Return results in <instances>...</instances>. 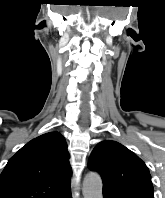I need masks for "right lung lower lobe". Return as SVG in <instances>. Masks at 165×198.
<instances>
[{
    "label": "right lung lower lobe",
    "mask_w": 165,
    "mask_h": 198,
    "mask_svg": "<svg viewBox=\"0 0 165 198\" xmlns=\"http://www.w3.org/2000/svg\"><path fill=\"white\" fill-rule=\"evenodd\" d=\"M64 198H72L71 191Z\"/></svg>",
    "instance_id": "right-lung-lower-lobe-1"
}]
</instances>
